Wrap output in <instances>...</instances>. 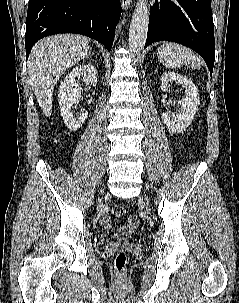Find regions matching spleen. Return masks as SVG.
Masks as SVG:
<instances>
[{
	"mask_svg": "<svg viewBox=\"0 0 239 303\" xmlns=\"http://www.w3.org/2000/svg\"><path fill=\"white\" fill-rule=\"evenodd\" d=\"M157 56L165 67L176 69L185 65L189 68H200L201 60L196 53L183 45L166 42L157 49Z\"/></svg>",
	"mask_w": 239,
	"mask_h": 303,
	"instance_id": "spleen-1",
	"label": "spleen"
}]
</instances>
